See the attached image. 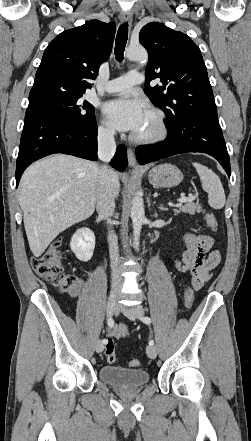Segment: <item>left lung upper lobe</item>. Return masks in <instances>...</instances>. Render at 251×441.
Returning a JSON list of instances; mask_svg holds the SVG:
<instances>
[{
    "label": "left lung upper lobe",
    "instance_id": "1",
    "mask_svg": "<svg viewBox=\"0 0 251 441\" xmlns=\"http://www.w3.org/2000/svg\"><path fill=\"white\" fill-rule=\"evenodd\" d=\"M139 41L149 53L145 93L165 113L168 128L183 116L217 114L200 49L189 36L151 22L141 29ZM156 78L162 85L151 87Z\"/></svg>",
    "mask_w": 251,
    "mask_h": 441
}]
</instances>
